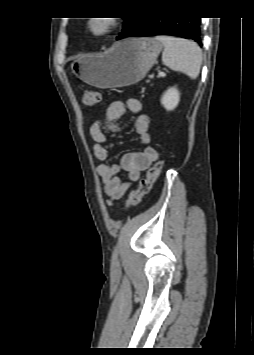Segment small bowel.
Returning a JSON list of instances; mask_svg holds the SVG:
<instances>
[{"label": "small bowel", "mask_w": 254, "mask_h": 355, "mask_svg": "<svg viewBox=\"0 0 254 355\" xmlns=\"http://www.w3.org/2000/svg\"><path fill=\"white\" fill-rule=\"evenodd\" d=\"M142 109V103L138 99L115 100L109 104L106 110L104 126L99 122H94L90 127V135L94 141L93 153L101 162L97 167V173L102 180L108 206L121 199L132 184L140 179L142 172L158 159L157 150L148 146L143 151L123 154L119 164H108L110 154L104 129L109 132H117V121L126 111L136 117L134 131L139 140L145 145L150 143L149 118L142 113ZM122 170L128 173V180H122L119 177Z\"/></svg>", "instance_id": "c3829d8e"}]
</instances>
